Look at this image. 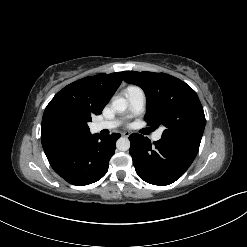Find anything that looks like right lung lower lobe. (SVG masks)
<instances>
[{"mask_svg": "<svg viewBox=\"0 0 247 247\" xmlns=\"http://www.w3.org/2000/svg\"><path fill=\"white\" fill-rule=\"evenodd\" d=\"M119 137L117 134L91 135L77 145L50 152L46 156L53 170L67 182L88 185L107 173Z\"/></svg>", "mask_w": 247, "mask_h": 247, "instance_id": "1", "label": "right lung lower lobe"}]
</instances>
